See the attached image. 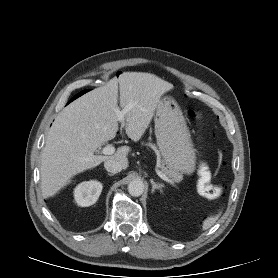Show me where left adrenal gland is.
<instances>
[{
    "mask_svg": "<svg viewBox=\"0 0 278 278\" xmlns=\"http://www.w3.org/2000/svg\"><path fill=\"white\" fill-rule=\"evenodd\" d=\"M151 184H152V189H151V193H154L155 190H160V192L163 191V184L160 183H156L153 179L150 180Z\"/></svg>",
    "mask_w": 278,
    "mask_h": 278,
    "instance_id": "a2214340",
    "label": "left adrenal gland"
}]
</instances>
